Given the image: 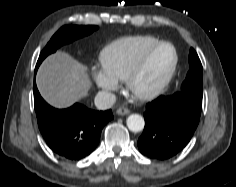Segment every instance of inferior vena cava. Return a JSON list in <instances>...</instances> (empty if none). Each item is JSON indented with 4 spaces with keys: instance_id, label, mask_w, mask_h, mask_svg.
Here are the masks:
<instances>
[{
    "instance_id": "602c4592",
    "label": "inferior vena cava",
    "mask_w": 236,
    "mask_h": 187,
    "mask_svg": "<svg viewBox=\"0 0 236 187\" xmlns=\"http://www.w3.org/2000/svg\"><path fill=\"white\" fill-rule=\"evenodd\" d=\"M116 101V96L113 93H109L106 91H100L97 93L95 97V106L99 110H106L111 108Z\"/></svg>"
}]
</instances>
